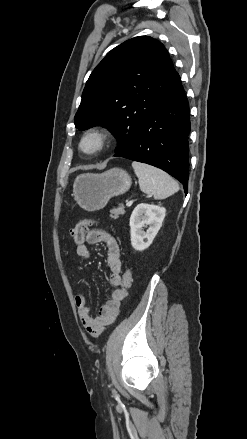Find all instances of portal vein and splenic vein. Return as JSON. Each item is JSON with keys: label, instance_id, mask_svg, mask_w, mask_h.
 Returning <instances> with one entry per match:
<instances>
[{"label": "portal vein and splenic vein", "instance_id": "obj_1", "mask_svg": "<svg viewBox=\"0 0 247 439\" xmlns=\"http://www.w3.org/2000/svg\"><path fill=\"white\" fill-rule=\"evenodd\" d=\"M132 203H133V200H131V201H126V206H131Z\"/></svg>", "mask_w": 247, "mask_h": 439}]
</instances>
